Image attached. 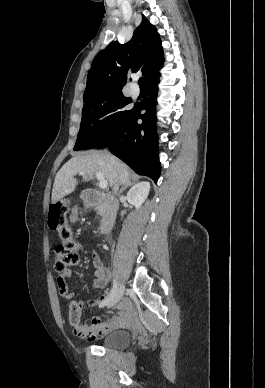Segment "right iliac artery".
<instances>
[{
	"instance_id": "82829eb1",
	"label": "right iliac artery",
	"mask_w": 265,
	"mask_h": 388,
	"mask_svg": "<svg viewBox=\"0 0 265 388\" xmlns=\"http://www.w3.org/2000/svg\"><path fill=\"white\" fill-rule=\"evenodd\" d=\"M118 291V284H117V281L116 280H113V287H112V290H111V294H110V298L108 299V301L104 304H101L100 307H103L105 306L109 301H111V299L115 296V294L117 293Z\"/></svg>"
}]
</instances>
